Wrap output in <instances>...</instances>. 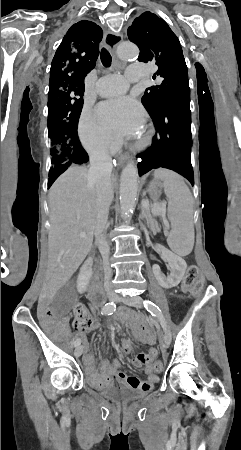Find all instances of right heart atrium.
Listing matches in <instances>:
<instances>
[{"instance_id": "1", "label": "right heart atrium", "mask_w": 241, "mask_h": 450, "mask_svg": "<svg viewBox=\"0 0 241 450\" xmlns=\"http://www.w3.org/2000/svg\"><path fill=\"white\" fill-rule=\"evenodd\" d=\"M78 133L85 150L92 156H105L114 147V139L104 128L96 123L92 113L85 108L79 118Z\"/></svg>"}]
</instances>
